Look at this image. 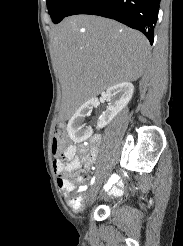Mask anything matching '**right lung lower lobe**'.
<instances>
[{
	"label": "right lung lower lobe",
	"instance_id": "98d812e1",
	"mask_svg": "<svg viewBox=\"0 0 183 246\" xmlns=\"http://www.w3.org/2000/svg\"><path fill=\"white\" fill-rule=\"evenodd\" d=\"M159 4L160 0H77L66 16L91 14L115 19L153 43Z\"/></svg>",
	"mask_w": 183,
	"mask_h": 246
}]
</instances>
